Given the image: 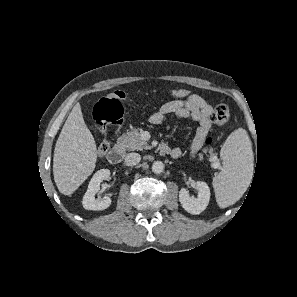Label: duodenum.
I'll return each mask as SVG.
<instances>
[{"label":"duodenum","mask_w":297,"mask_h":297,"mask_svg":"<svg viewBox=\"0 0 297 297\" xmlns=\"http://www.w3.org/2000/svg\"><path fill=\"white\" fill-rule=\"evenodd\" d=\"M159 152L161 154H170L171 150L168 146L163 145L159 148ZM124 155H125L124 146L122 144H117L108 153V160L113 164H117L123 160Z\"/></svg>","instance_id":"obj_1"}]
</instances>
